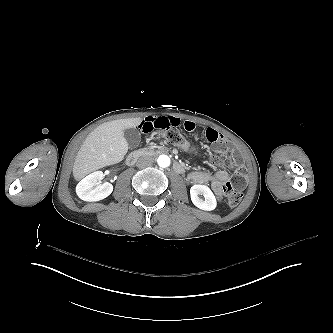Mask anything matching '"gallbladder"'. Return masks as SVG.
<instances>
[{
  "label": "gallbladder",
  "instance_id": "bac80fb5",
  "mask_svg": "<svg viewBox=\"0 0 333 333\" xmlns=\"http://www.w3.org/2000/svg\"><path fill=\"white\" fill-rule=\"evenodd\" d=\"M124 138L128 143V147L131 149L136 148L141 141L140 132L136 128L125 129Z\"/></svg>",
  "mask_w": 333,
  "mask_h": 333
}]
</instances>
